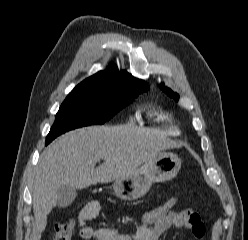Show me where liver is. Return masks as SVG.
<instances>
[{"mask_svg": "<svg viewBox=\"0 0 248 240\" xmlns=\"http://www.w3.org/2000/svg\"><path fill=\"white\" fill-rule=\"evenodd\" d=\"M178 145L162 134L129 125L90 126L70 131L41 154L33 181V213L38 238L57 205L62 185L84 189L122 179L162 150ZM104 163L96 166V163Z\"/></svg>", "mask_w": 248, "mask_h": 240, "instance_id": "1", "label": "liver"}]
</instances>
